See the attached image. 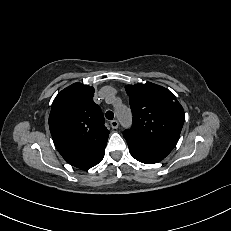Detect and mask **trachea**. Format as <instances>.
<instances>
[{
	"instance_id": "obj_1",
	"label": "trachea",
	"mask_w": 231,
	"mask_h": 231,
	"mask_svg": "<svg viewBox=\"0 0 231 231\" xmlns=\"http://www.w3.org/2000/svg\"><path fill=\"white\" fill-rule=\"evenodd\" d=\"M106 118L108 120H113L114 118V113L112 111H107L106 114H105Z\"/></svg>"
}]
</instances>
